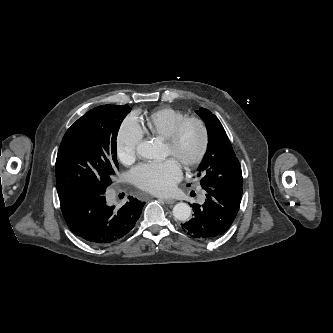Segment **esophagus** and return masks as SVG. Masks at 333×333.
<instances>
[{"instance_id": "34e87169", "label": "esophagus", "mask_w": 333, "mask_h": 333, "mask_svg": "<svg viewBox=\"0 0 333 333\" xmlns=\"http://www.w3.org/2000/svg\"><path fill=\"white\" fill-rule=\"evenodd\" d=\"M163 201L166 204H174L175 203V200L174 199H170V198H165V199H163Z\"/></svg>"}]
</instances>
